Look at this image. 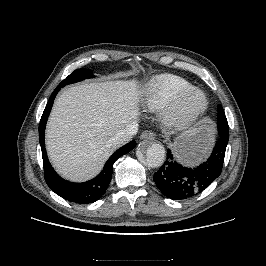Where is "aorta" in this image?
Returning <instances> with one entry per match:
<instances>
[{"mask_svg": "<svg viewBox=\"0 0 266 266\" xmlns=\"http://www.w3.org/2000/svg\"><path fill=\"white\" fill-rule=\"evenodd\" d=\"M145 156V162L149 167L156 168L164 163L166 151L162 144L152 143L148 147H140Z\"/></svg>", "mask_w": 266, "mask_h": 266, "instance_id": "obj_1", "label": "aorta"}]
</instances>
